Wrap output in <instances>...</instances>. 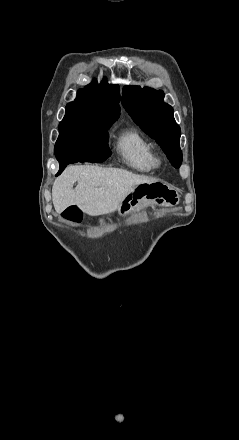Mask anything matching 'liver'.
<instances>
[{
  "instance_id": "6515ba94",
  "label": "liver",
  "mask_w": 239,
  "mask_h": 440,
  "mask_svg": "<svg viewBox=\"0 0 239 440\" xmlns=\"http://www.w3.org/2000/svg\"><path fill=\"white\" fill-rule=\"evenodd\" d=\"M78 182L75 190L73 184ZM156 178L138 176L119 168L99 166H68L56 178L52 188V202L57 214L68 206H78L88 216L116 212L120 202L141 184H155Z\"/></svg>"
}]
</instances>
